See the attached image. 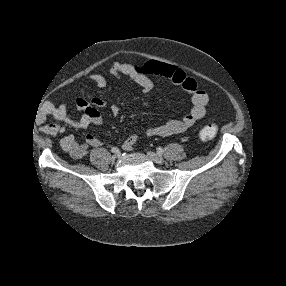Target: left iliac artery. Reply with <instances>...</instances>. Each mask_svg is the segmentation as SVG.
Segmentation results:
<instances>
[{"mask_svg":"<svg viewBox=\"0 0 286 286\" xmlns=\"http://www.w3.org/2000/svg\"><path fill=\"white\" fill-rule=\"evenodd\" d=\"M157 152H158L159 154H162L164 151H163V149H162L161 147H159V148L157 149Z\"/></svg>","mask_w":286,"mask_h":286,"instance_id":"44dca946","label":"left iliac artery"}]
</instances>
